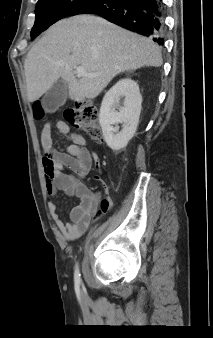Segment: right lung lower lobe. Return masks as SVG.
<instances>
[{"label":"right lung lower lobe","mask_w":213,"mask_h":338,"mask_svg":"<svg viewBox=\"0 0 213 338\" xmlns=\"http://www.w3.org/2000/svg\"><path fill=\"white\" fill-rule=\"evenodd\" d=\"M97 14L133 32L152 37L163 44L162 0H92L76 9L75 14Z\"/></svg>","instance_id":"right-lung-lower-lobe-1"}]
</instances>
